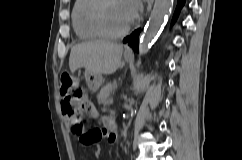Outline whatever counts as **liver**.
<instances>
[{
	"instance_id": "obj_1",
	"label": "liver",
	"mask_w": 242,
	"mask_h": 160,
	"mask_svg": "<svg viewBox=\"0 0 242 160\" xmlns=\"http://www.w3.org/2000/svg\"><path fill=\"white\" fill-rule=\"evenodd\" d=\"M123 45L107 41H89L72 47L69 68L74 73L84 67L85 73L110 75L116 72L121 63Z\"/></svg>"
}]
</instances>
